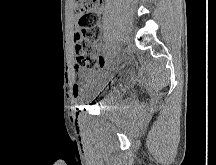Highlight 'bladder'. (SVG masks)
Segmentation results:
<instances>
[{
    "label": "bladder",
    "mask_w": 216,
    "mask_h": 165,
    "mask_svg": "<svg viewBox=\"0 0 216 165\" xmlns=\"http://www.w3.org/2000/svg\"><path fill=\"white\" fill-rule=\"evenodd\" d=\"M113 76H108L107 74H101L98 76H93L90 80L91 85L87 91V98L91 100H103L105 97H110L111 94H118V89H105L106 86H116V81H113ZM104 104L103 102L101 103Z\"/></svg>",
    "instance_id": "1"
}]
</instances>
